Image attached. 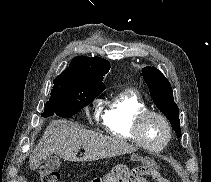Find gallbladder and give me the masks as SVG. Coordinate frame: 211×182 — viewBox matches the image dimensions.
I'll list each match as a JSON object with an SVG mask.
<instances>
[{
    "label": "gallbladder",
    "instance_id": "gallbladder-1",
    "mask_svg": "<svg viewBox=\"0 0 211 182\" xmlns=\"http://www.w3.org/2000/svg\"><path fill=\"white\" fill-rule=\"evenodd\" d=\"M45 166L50 170H57L60 167L61 160L56 155H50L44 159Z\"/></svg>",
    "mask_w": 211,
    "mask_h": 182
}]
</instances>
